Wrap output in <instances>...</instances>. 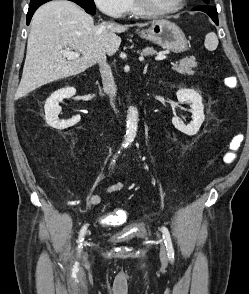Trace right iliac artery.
<instances>
[{
  "instance_id": "right-iliac-artery-1",
  "label": "right iliac artery",
  "mask_w": 249,
  "mask_h": 294,
  "mask_svg": "<svg viewBox=\"0 0 249 294\" xmlns=\"http://www.w3.org/2000/svg\"><path fill=\"white\" fill-rule=\"evenodd\" d=\"M118 153H120V151H118ZM115 158H116V157H114L112 163L115 162ZM86 230H87V224L84 225V226L81 228L80 232H79V239H78V251H79V252H80L81 249H82V245H83V241H84V235H85V233H86Z\"/></svg>"
}]
</instances>
